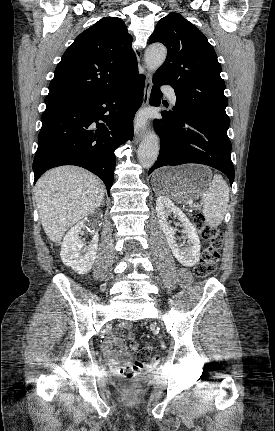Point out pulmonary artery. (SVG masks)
<instances>
[{
    "label": "pulmonary artery",
    "mask_w": 275,
    "mask_h": 431,
    "mask_svg": "<svg viewBox=\"0 0 275 431\" xmlns=\"http://www.w3.org/2000/svg\"><path fill=\"white\" fill-rule=\"evenodd\" d=\"M162 90H163V91L168 95V97H169V99H170L171 103H172L173 105H175V103H176V95H175V93H174L173 89H172V88H170V87H168V86H164V87L162 88Z\"/></svg>",
    "instance_id": "1"
}]
</instances>
